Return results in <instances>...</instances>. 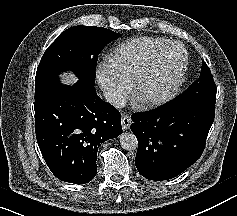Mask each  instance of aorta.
<instances>
[{
  "instance_id": "1",
  "label": "aorta",
  "mask_w": 237,
  "mask_h": 216,
  "mask_svg": "<svg viewBox=\"0 0 237 216\" xmlns=\"http://www.w3.org/2000/svg\"><path fill=\"white\" fill-rule=\"evenodd\" d=\"M119 142L121 148L126 151H136L139 146L138 138L134 133L123 132L119 136Z\"/></svg>"
}]
</instances>
